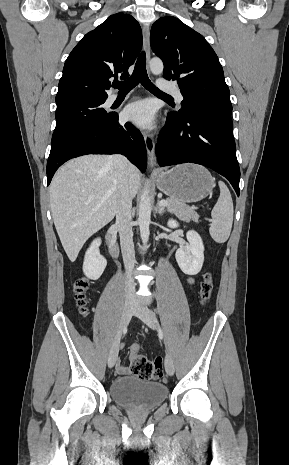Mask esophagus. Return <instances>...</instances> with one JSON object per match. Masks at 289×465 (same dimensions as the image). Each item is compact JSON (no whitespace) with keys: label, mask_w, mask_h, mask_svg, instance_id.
Here are the masks:
<instances>
[{"label":"esophagus","mask_w":289,"mask_h":465,"mask_svg":"<svg viewBox=\"0 0 289 465\" xmlns=\"http://www.w3.org/2000/svg\"><path fill=\"white\" fill-rule=\"evenodd\" d=\"M143 45H144V50L146 53V59L147 62H149L151 54H150V29L148 25H145L143 27ZM144 137V142L147 150V155H148V166L150 169L154 167V139L153 135L148 132H144L143 134Z\"/></svg>","instance_id":"esophagus-1"}]
</instances>
